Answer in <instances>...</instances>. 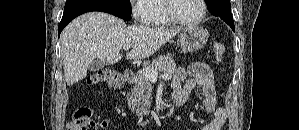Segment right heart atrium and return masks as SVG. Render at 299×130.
<instances>
[{
  "instance_id": "d8ad5b80",
  "label": "right heart atrium",
  "mask_w": 299,
  "mask_h": 130,
  "mask_svg": "<svg viewBox=\"0 0 299 130\" xmlns=\"http://www.w3.org/2000/svg\"><path fill=\"white\" fill-rule=\"evenodd\" d=\"M149 0L131 1V12L134 19L138 22H145L147 18V3Z\"/></svg>"
}]
</instances>
